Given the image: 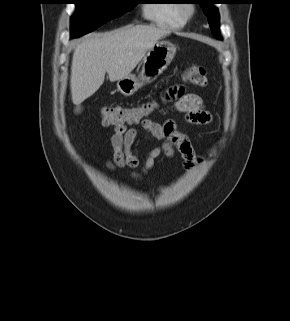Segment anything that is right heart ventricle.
<instances>
[{
	"mask_svg": "<svg viewBox=\"0 0 290 321\" xmlns=\"http://www.w3.org/2000/svg\"><path fill=\"white\" fill-rule=\"evenodd\" d=\"M175 0H160L144 7V16L152 23L169 28H183L186 19L180 12V7Z\"/></svg>",
	"mask_w": 290,
	"mask_h": 321,
	"instance_id": "e07e8e85",
	"label": "right heart ventricle"
}]
</instances>
